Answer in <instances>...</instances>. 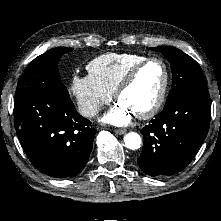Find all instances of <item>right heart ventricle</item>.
<instances>
[{"mask_svg":"<svg viewBox=\"0 0 221 221\" xmlns=\"http://www.w3.org/2000/svg\"><path fill=\"white\" fill-rule=\"evenodd\" d=\"M146 56L133 53H106L87 65L89 75L106 91L113 94L124 76Z\"/></svg>","mask_w":221,"mask_h":221,"instance_id":"obj_1","label":"right heart ventricle"}]
</instances>
